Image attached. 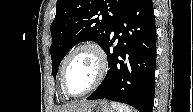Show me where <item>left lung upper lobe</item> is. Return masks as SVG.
Here are the masks:
<instances>
[{
    "instance_id": "obj_1",
    "label": "left lung upper lobe",
    "mask_w": 193,
    "mask_h": 112,
    "mask_svg": "<svg viewBox=\"0 0 193 112\" xmlns=\"http://www.w3.org/2000/svg\"><path fill=\"white\" fill-rule=\"evenodd\" d=\"M133 0H57L56 16L51 24L52 74L77 43L95 41L104 48L112 29Z\"/></svg>"
}]
</instances>
